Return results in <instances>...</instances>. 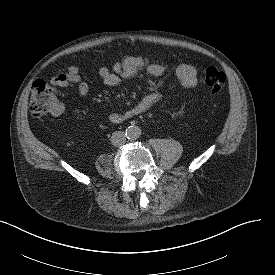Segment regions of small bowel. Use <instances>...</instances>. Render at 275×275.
Instances as JSON below:
<instances>
[{
	"label": "small bowel",
	"mask_w": 275,
	"mask_h": 275,
	"mask_svg": "<svg viewBox=\"0 0 275 275\" xmlns=\"http://www.w3.org/2000/svg\"><path fill=\"white\" fill-rule=\"evenodd\" d=\"M145 69L154 77H161L165 73L164 67L156 62L149 61L142 56H128L121 61L116 62L112 67L102 66L99 69L101 81L108 87L117 86L123 78H130L136 75L140 70ZM176 76L181 84L186 88H192L197 85V70L190 64H180L176 68ZM51 83L57 87L75 88L78 95L86 96L90 91V86L80 75L76 66H70L65 72L55 76ZM161 98L157 91H152L144 95L132 108L123 113H113L109 119L113 123H120L130 118L136 117L147 112ZM63 112L62 105H58L52 110V114L57 116Z\"/></svg>",
	"instance_id": "1"
}]
</instances>
